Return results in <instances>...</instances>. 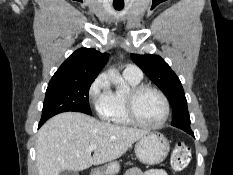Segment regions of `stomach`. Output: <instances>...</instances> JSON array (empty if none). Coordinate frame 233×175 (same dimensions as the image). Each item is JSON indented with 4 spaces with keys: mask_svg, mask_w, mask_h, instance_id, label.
I'll list each match as a JSON object with an SVG mask.
<instances>
[{
    "mask_svg": "<svg viewBox=\"0 0 233 175\" xmlns=\"http://www.w3.org/2000/svg\"><path fill=\"white\" fill-rule=\"evenodd\" d=\"M169 149L167 138L158 132H148L135 144L137 158L148 165L163 162L169 153ZM119 168L118 162H111L106 167L93 170L91 175H115L119 172Z\"/></svg>",
    "mask_w": 233,
    "mask_h": 175,
    "instance_id": "stomach-1",
    "label": "stomach"
}]
</instances>
